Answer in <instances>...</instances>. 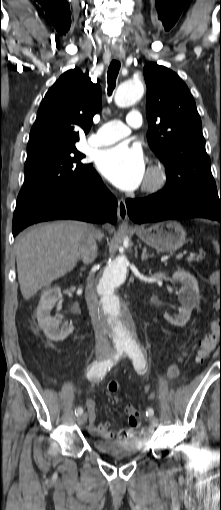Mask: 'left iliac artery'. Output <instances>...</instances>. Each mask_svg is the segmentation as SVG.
<instances>
[{
  "instance_id": "left-iliac-artery-1",
  "label": "left iliac artery",
  "mask_w": 221,
  "mask_h": 510,
  "mask_svg": "<svg viewBox=\"0 0 221 510\" xmlns=\"http://www.w3.org/2000/svg\"><path fill=\"white\" fill-rule=\"evenodd\" d=\"M126 353L131 358L134 368L137 371H141L145 368L147 361L144 355V352L139 348L137 344H131L126 350ZM147 416H153L154 410L152 408H148L146 410Z\"/></svg>"
}]
</instances>
